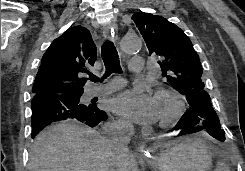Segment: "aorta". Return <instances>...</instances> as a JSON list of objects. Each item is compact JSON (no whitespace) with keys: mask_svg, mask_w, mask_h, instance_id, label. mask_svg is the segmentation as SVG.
Returning a JSON list of instances; mask_svg holds the SVG:
<instances>
[{"mask_svg":"<svg viewBox=\"0 0 245 171\" xmlns=\"http://www.w3.org/2000/svg\"><path fill=\"white\" fill-rule=\"evenodd\" d=\"M121 50L126 54L139 52L142 47V41L137 36H124L120 42Z\"/></svg>","mask_w":245,"mask_h":171,"instance_id":"obj_1","label":"aorta"}]
</instances>
